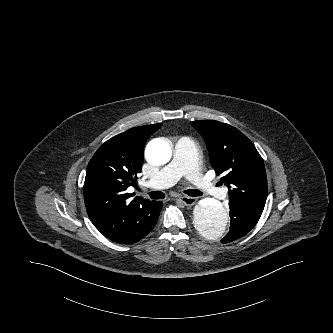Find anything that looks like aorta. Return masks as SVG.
Returning a JSON list of instances; mask_svg holds the SVG:
<instances>
[{
	"mask_svg": "<svg viewBox=\"0 0 333 333\" xmlns=\"http://www.w3.org/2000/svg\"><path fill=\"white\" fill-rule=\"evenodd\" d=\"M171 156L172 149L164 140H153L146 147V159L153 166L167 164ZM193 217L196 229L208 239H218L229 230V214L220 203H199Z\"/></svg>",
	"mask_w": 333,
	"mask_h": 333,
	"instance_id": "obj_1",
	"label": "aorta"
}]
</instances>
